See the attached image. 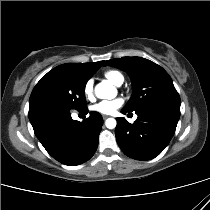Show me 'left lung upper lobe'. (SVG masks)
Masks as SVG:
<instances>
[{"instance_id":"obj_1","label":"left lung upper lobe","mask_w":210,"mask_h":210,"mask_svg":"<svg viewBox=\"0 0 210 210\" xmlns=\"http://www.w3.org/2000/svg\"><path fill=\"white\" fill-rule=\"evenodd\" d=\"M126 71L132 79L133 94L123 108L133 112L153 105L180 108V97L171 77L159 65L141 57H122L105 62Z\"/></svg>"}]
</instances>
